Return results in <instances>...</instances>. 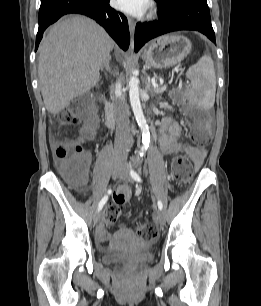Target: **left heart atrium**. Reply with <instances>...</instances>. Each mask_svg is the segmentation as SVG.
Returning a JSON list of instances; mask_svg holds the SVG:
<instances>
[{
	"mask_svg": "<svg viewBox=\"0 0 261 306\" xmlns=\"http://www.w3.org/2000/svg\"><path fill=\"white\" fill-rule=\"evenodd\" d=\"M117 7L125 13L140 15L148 7V0H116Z\"/></svg>",
	"mask_w": 261,
	"mask_h": 306,
	"instance_id": "39dd6f15",
	"label": "left heart atrium"
}]
</instances>
